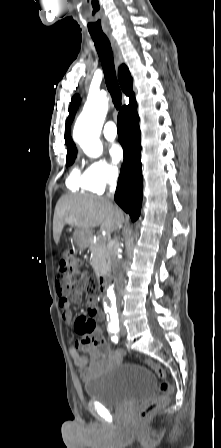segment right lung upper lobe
Returning a JSON list of instances; mask_svg holds the SVG:
<instances>
[{"label":"right lung upper lobe","mask_w":221,"mask_h":448,"mask_svg":"<svg viewBox=\"0 0 221 448\" xmlns=\"http://www.w3.org/2000/svg\"><path fill=\"white\" fill-rule=\"evenodd\" d=\"M118 79H119V83H120V86H121L123 92L130 99L129 103L135 101V96H134V93L132 90V78H131L128 68L125 65L120 66L119 71H118ZM79 102H80L79 96L75 95L72 98L71 105L69 108V117L66 120V124H65V143L68 146L67 155L77 153L76 146L71 138L70 125L74 118V115H75L76 109L79 105Z\"/></svg>","instance_id":"1"}]
</instances>
